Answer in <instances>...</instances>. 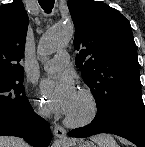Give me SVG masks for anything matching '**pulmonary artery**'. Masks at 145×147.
<instances>
[{"label":"pulmonary artery","mask_w":145,"mask_h":147,"mask_svg":"<svg viewBox=\"0 0 145 147\" xmlns=\"http://www.w3.org/2000/svg\"><path fill=\"white\" fill-rule=\"evenodd\" d=\"M69 54L67 52L58 53L54 58L43 64V69L49 73H56L68 65Z\"/></svg>","instance_id":"pulmonary-artery-1"}]
</instances>
